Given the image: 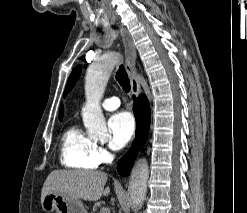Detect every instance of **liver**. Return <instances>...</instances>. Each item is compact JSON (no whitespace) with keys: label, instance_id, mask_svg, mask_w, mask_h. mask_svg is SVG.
I'll use <instances>...</instances> for the list:
<instances>
[{"label":"liver","instance_id":"6515ba94","mask_svg":"<svg viewBox=\"0 0 247 213\" xmlns=\"http://www.w3.org/2000/svg\"><path fill=\"white\" fill-rule=\"evenodd\" d=\"M107 174L93 170H54L46 178L41 199L48 193L65 194L71 198L97 201L108 196L110 188L104 189Z\"/></svg>","mask_w":247,"mask_h":213}]
</instances>
